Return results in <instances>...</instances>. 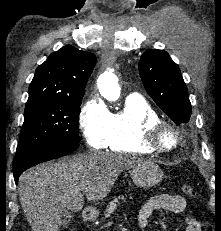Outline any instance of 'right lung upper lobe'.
<instances>
[{
    "label": "right lung upper lobe",
    "instance_id": "right-lung-upper-lobe-1",
    "mask_svg": "<svg viewBox=\"0 0 221 231\" xmlns=\"http://www.w3.org/2000/svg\"><path fill=\"white\" fill-rule=\"evenodd\" d=\"M95 64V54L70 45L50 54L35 71L27 103L83 98Z\"/></svg>",
    "mask_w": 221,
    "mask_h": 231
}]
</instances>
